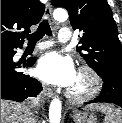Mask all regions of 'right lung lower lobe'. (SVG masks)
I'll return each instance as SVG.
<instances>
[{"label": "right lung lower lobe", "mask_w": 122, "mask_h": 123, "mask_svg": "<svg viewBox=\"0 0 122 123\" xmlns=\"http://www.w3.org/2000/svg\"><path fill=\"white\" fill-rule=\"evenodd\" d=\"M22 45L1 46V99L23 101L28 97H36L42 90L41 84L29 75L17 71L19 64L13 62L16 48ZM34 58L23 63V67L32 66Z\"/></svg>", "instance_id": "right-lung-lower-lobe-1"}]
</instances>
